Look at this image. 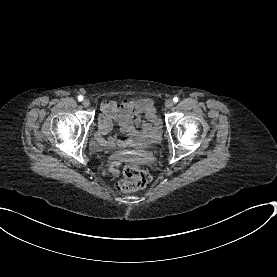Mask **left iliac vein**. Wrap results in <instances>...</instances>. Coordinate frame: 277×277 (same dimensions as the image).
I'll use <instances>...</instances> for the list:
<instances>
[{
    "instance_id": "1",
    "label": "left iliac vein",
    "mask_w": 277,
    "mask_h": 277,
    "mask_svg": "<svg viewBox=\"0 0 277 277\" xmlns=\"http://www.w3.org/2000/svg\"><path fill=\"white\" fill-rule=\"evenodd\" d=\"M173 105H174V102L171 99H169L165 102V107L168 108V109L172 108Z\"/></svg>"
}]
</instances>
